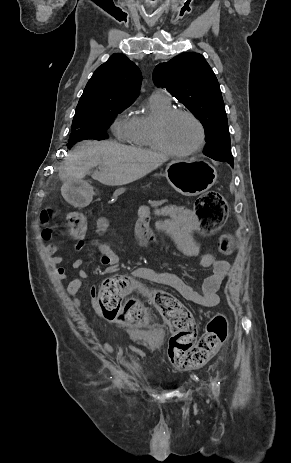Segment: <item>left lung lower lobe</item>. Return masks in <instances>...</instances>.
<instances>
[{
	"label": "left lung lower lobe",
	"instance_id": "left-lung-lower-lobe-1",
	"mask_svg": "<svg viewBox=\"0 0 291 463\" xmlns=\"http://www.w3.org/2000/svg\"><path fill=\"white\" fill-rule=\"evenodd\" d=\"M217 161H226V162H228L232 167H234L233 159L221 158V159H217Z\"/></svg>",
	"mask_w": 291,
	"mask_h": 463
}]
</instances>
